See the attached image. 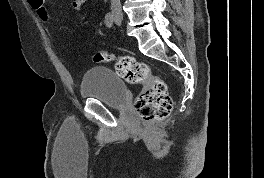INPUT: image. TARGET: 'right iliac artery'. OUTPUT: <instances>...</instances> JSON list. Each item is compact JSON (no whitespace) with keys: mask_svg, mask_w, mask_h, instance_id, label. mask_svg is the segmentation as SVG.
<instances>
[{"mask_svg":"<svg viewBox=\"0 0 264 178\" xmlns=\"http://www.w3.org/2000/svg\"><path fill=\"white\" fill-rule=\"evenodd\" d=\"M105 24L109 28L113 26V16L111 13H107V15L105 16Z\"/></svg>","mask_w":264,"mask_h":178,"instance_id":"82829eb1","label":"right iliac artery"}]
</instances>
